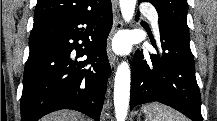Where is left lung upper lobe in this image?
<instances>
[{
  "label": "left lung upper lobe",
  "mask_w": 217,
  "mask_h": 121,
  "mask_svg": "<svg viewBox=\"0 0 217 121\" xmlns=\"http://www.w3.org/2000/svg\"><path fill=\"white\" fill-rule=\"evenodd\" d=\"M153 4L158 12L159 19L175 27L178 31L189 36L187 26V0H143Z\"/></svg>",
  "instance_id": "5c2ea615"
}]
</instances>
